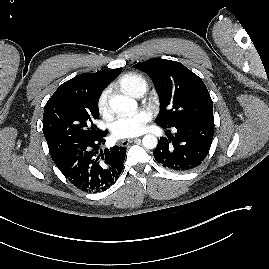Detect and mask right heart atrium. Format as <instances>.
<instances>
[{
	"instance_id": "1",
	"label": "right heart atrium",
	"mask_w": 269,
	"mask_h": 269,
	"mask_svg": "<svg viewBox=\"0 0 269 269\" xmlns=\"http://www.w3.org/2000/svg\"><path fill=\"white\" fill-rule=\"evenodd\" d=\"M98 111L101 114L106 115L108 113V91L105 90L101 93L99 96L98 102H97Z\"/></svg>"
}]
</instances>
